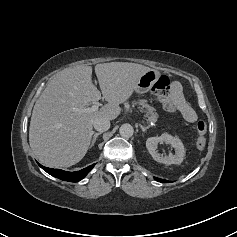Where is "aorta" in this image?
<instances>
[{
    "label": "aorta",
    "mask_w": 237,
    "mask_h": 237,
    "mask_svg": "<svg viewBox=\"0 0 237 237\" xmlns=\"http://www.w3.org/2000/svg\"><path fill=\"white\" fill-rule=\"evenodd\" d=\"M119 133L123 138H130L134 133V129H133L132 125L125 123V124L121 125V127L119 129Z\"/></svg>",
    "instance_id": "1"
}]
</instances>
